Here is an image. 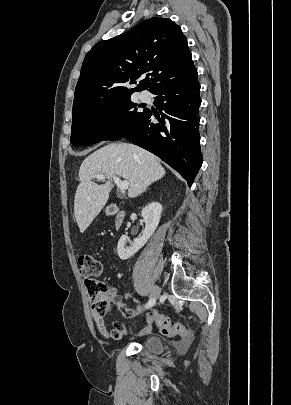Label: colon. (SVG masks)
I'll return each mask as SVG.
<instances>
[{"label":"colon","instance_id":"colon-1","mask_svg":"<svg viewBox=\"0 0 291 405\" xmlns=\"http://www.w3.org/2000/svg\"><path fill=\"white\" fill-rule=\"evenodd\" d=\"M79 270L85 279V287L91 301L92 312L103 315L108 309L109 300L107 294L109 286L98 279L103 272V265L100 260L91 254H82L78 258ZM148 316L161 333L167 337L188 339L189 331L182 324H172L170 319L158 310L151 311Z\"/></svg>","mask_w":291,"mask_h":405}]
</instances>
